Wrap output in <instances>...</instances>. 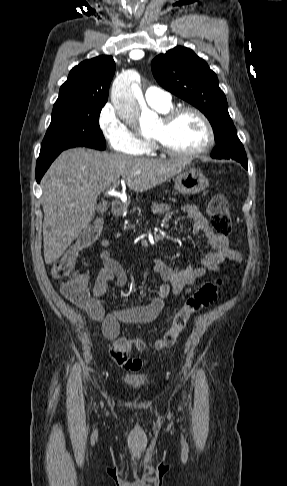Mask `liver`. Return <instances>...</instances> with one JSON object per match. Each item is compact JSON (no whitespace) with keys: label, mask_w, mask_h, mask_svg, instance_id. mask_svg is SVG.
<instances>
[{"label":"liver","mask_w":287,"mask_h":486,"mask_svg":"<svg viewBox=\"0 0 287 486\" xmlns=\"http://www.w3.org/2000/svg\"><path fill=\"white\" fill-rule=\"evenodd\" d=\"M189 160H154L86 148L62 152L41 180L46 264L59 259L94 219L97 197L122 177L135 192L152 189L182 172Z\"/></svg>","instance_id":"1"}]
</instances>
